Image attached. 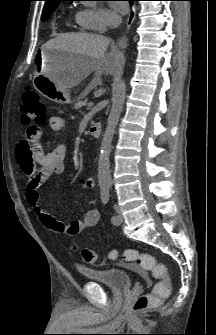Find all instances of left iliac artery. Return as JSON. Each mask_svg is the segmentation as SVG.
Wrapping results in <instances>:
<instances>
[{
	"mask_svg": "<svg viewBox=\"0 0 216 335\" xmlns=\"http://www.w3.org/2000/svg\"><path fill=\"white\" fill-rule=\"evenodd\" d=\"M110 199V184H103L101 186V201L103 204H107ZM117 216L113 215L111 217V222L115 223L117 221Z\"/></svg>",
	"mask_w": 216,
	"mask_h": 335,
	"instance_id": "1",
	"label": "left iliac artery"
}]
</instances>
